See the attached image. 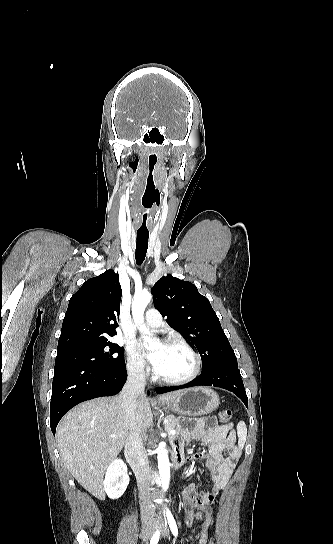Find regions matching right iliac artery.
<instances>
[{"mask_svg":"<svg viewBox=\"0 0 333 544\" xmlns=\"http://www.w3.org/2000/svg\"><path fill=\"white\" fill-rule=\"evenodd\" d=\"M159 537H160V530L158 529L153 535V537L151 538L150 544H157L159 541Z\"/></svg>","mask_w":333,"mask_h":544,"instance_id":"1","label":"right iliac artery"}]
</instances>
